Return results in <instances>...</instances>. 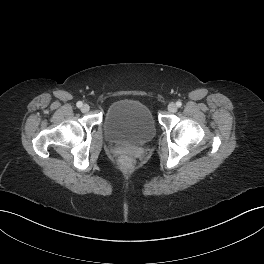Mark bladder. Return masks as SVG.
<instances>
[{"label": "bladder", "instance_id": "bladder-1", "mask_svg": "<svg viewBox=\"0 0 264 264\" xmlns=\"http://www.w3.org/2000/svg\"><path fill=\"white\" fill-rule=\"evenodd\" d=\"M103 130L109 142L144 145L154 138L156 125L145 104L133 99H121L108 107L103 118Z\"/></svg>", "mask_w": 264, "mask_h": 264}]
</instances>
